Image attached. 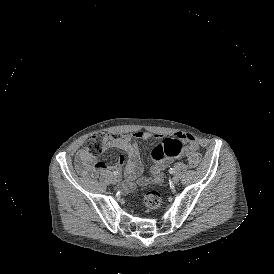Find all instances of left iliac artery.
<instances>
[{
  "label": "left iliac artery",
  "instance_id": "44dca946",
  "mask_svg": "<svg viewBox=\"0 0 274 274\" xmlns=\"http://www.w3.org/2000/svg\"><path fill=\"white\" fill-rule=\"evenodd\" d=\"M174 172H175L174 168H170V169H169V173H170V174H173Z\"/></svg>",
  "mask_w": 274,
  "mask_h": 274
}]
</instances>
